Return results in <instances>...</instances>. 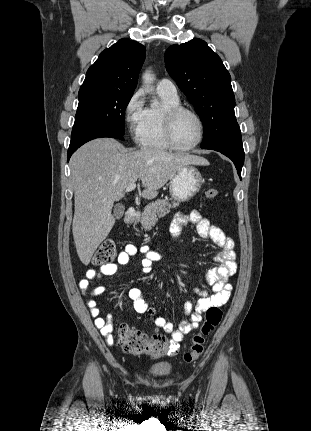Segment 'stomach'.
Instances as JSON below:
<instances>
[{"mask_svg": "<svg viewBox=\"0 0 311 431\" xmlns=\"http://www.w3.org/2000/svg\"><path fill=\"white\" fill-rule=\"evenodd\" d=\"M203 182L201 172L195 166H183L169 182L171 200L188 202L200 192Z\"/></svg>", "mask_w": 311, "mask_h": 431, "instance_id": "0dacf381", "label": "stomach"}]
</instances>
